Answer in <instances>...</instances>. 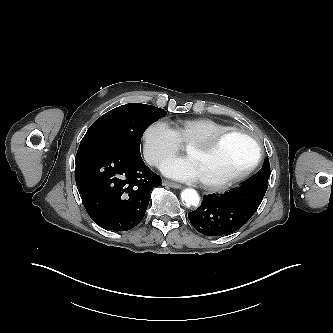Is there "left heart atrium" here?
I'll return each mask as SVG.
<instances>
[{
	"label": "left heart atrium",
	"mask_w": 333,
	"mask_h": 333,
	"mask_svg": "<svg viewBox=\"0 0 333 333\" xmlns=\"http://www.w3.org/2000/svg\"><path fill=\"white\" fill-rule=\"evenodd\" d=\"M162 171L168 177L176 180L184 182L200 181L198 170L189 156L166 161L162 166Z\"/></svg>",
	"instance_id": "left-heart-atrium-1"
}]
</instances>
